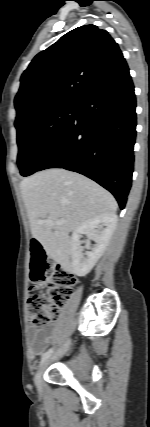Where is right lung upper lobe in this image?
<instances>
[{
    "instance_id": "1",
    "label": "right lung upper lobe",
    "mask_w": 150,
    "mask_h": 427,
    "mask_svg": "<svg viewBox=\"0 0 150 427\" xmlns=\"http://www.w3.org/2000/svg\"><path fill=\"white\" fill-rule=\"evenodd\" d=\"M127 63L117 43L95 25L73 29L40 52L21 76L15 97L16 120L54 105H79Z\"/></svg>"
}]
</instances>
